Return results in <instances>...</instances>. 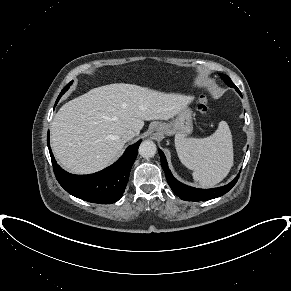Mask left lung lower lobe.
Instances as JSON below:
<instances>
[{
	"mask_svg": "<svg viewBox=\"0 0 291 291\" xmlns=\"http://www.w3.org/2000/svg\"><path fill=\"white\" fill-rule=\"evenodd\" d=\"M241 94V93H239ZM161 158V166L165 172V176L167 182L172 189V191L180 197L182 200L186 201H207L217 197H220L227 193L237 182L239 178V174L236 176L234 180H232L229 184L212 189H198L194 187H190L180 183L176 180L168 169V164L164 153L159 150L158 151Z\"/></svg>",
	"mask_w": 291,
	"mask_h": 291,
	"instance_id": "obj_1",
	"label": "left lung lower lobe"
}]
</instances>
